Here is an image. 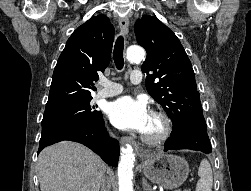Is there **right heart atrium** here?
I'll use <instances>...</instances> for the list:
<instances>
[{"label": "right heart atrium", "instance_id": "1", "mask_svg": "<svg viewBox=\"0 0 251 191\" xmlns=\"http://www.w3.org/2000/svg\"><path fill=\"white\" fill-rule=\"evenodd\" d=\"M109 135H110L111 137H113V133H112L111 131H109Z\"/></svg>", "mask_w": 251, "mask_h": 191}]
</instances>
